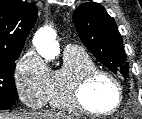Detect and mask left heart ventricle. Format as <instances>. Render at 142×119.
<instances>
[{
  "label": "left heart ventricle",
  "mask_w": 142,
  "mask_h": 119,
  "mask_svg": "<svg viewBox=\"0 0 142 119\" xmlns=\"http://www.w3.org/2000/svg\"><path fill=\"white\" fill-rule=\"evenodd\" d=\"M118 94L113 84L104 77L95 79L85 92L87 105L96 111H107L117 102Z\"/></svg>",
  "instance_id": "b2bd125f"
}]
</instances>
